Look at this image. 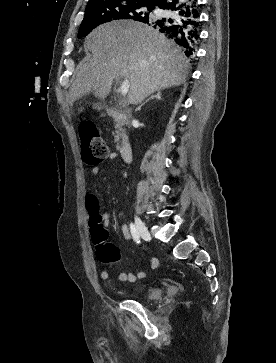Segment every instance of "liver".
<instances>
[{"label": "liver", "instance_id": "obj_1", "mask_svg": "<svg viewBox=\"0 0 276 363\" xmlns=\"http://www.w3.org/2000/svg\"><path fill=\"white\" fill-rule=\"evenodd\" d=\"M91 59L79 64L70 89L69 104L93 92L105 99L114 80L129 82L128 103H141L156 91L185 82V55L164 35L147 24L120 20L103 24L85 39Z\"/></svg>", "mask_w": 276, "mask_h": 363}]
</instances>
